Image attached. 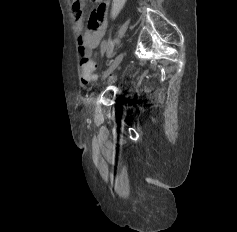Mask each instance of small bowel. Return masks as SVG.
<instances>
[{
  "label": "small bowel",
  "instance_id": "obj_1",
  "mask_svg": "<svg viewBox=\"0 0 237 232\" xmlns=\"http://www.w3.org/2000/svg\"><path fill=\"white\" fill-rule=\"evenodd\" d=\"M97 6L92 10L88 24L84 23L85 0H73V13L78 35V51L83 58L94 54L108 25V12L111 0H92Z\"/></svg>",
  "mask_w": 237,
  "mask_h": 232
}]
</instances>
